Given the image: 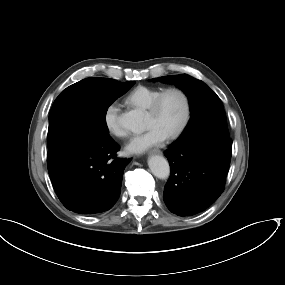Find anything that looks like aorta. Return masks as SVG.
Listing matches in <instances>:
<instances>
[{
    "mask_svg": "<svg viewBox=\"0 0 285 285\" xmlns=\"http://www.w3.org/2000/svg\"><path fill=\"white\" fill-rule=\"evenodd\" d=\"M143 114L138 110H131L123 113L119 117V124L130 131H139L143 127ZM149 168L152 174L159 179H167L170 175V166L168 161L159 155L150 157L148 160Z\"/></svg>",
    "mask_w": 285,
    "mask_h": 285,
    "instance_id": "obj_1",
    "label": "aorta"
}]
</instances>
